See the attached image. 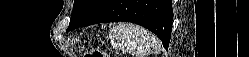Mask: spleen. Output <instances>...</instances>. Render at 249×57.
Masks as SVG:
<instances>
[{
	"mask_svg": "<svg viewBox=\"0 0 249 57\" xmlns=\"http://www.w3.org/2000/svg\"><path fill=\"white\" fill-rule=\"evenodd\" d=\"M109 37L113 47L137 57H144L160 49V42L152 33L131 23H120L112 27Z\"/></svg>",
	"mask_w": 249,
	"mask_h": 57,
	"instance_id": "spleen-1",
	"label": "spleen"
}]
</instances>
